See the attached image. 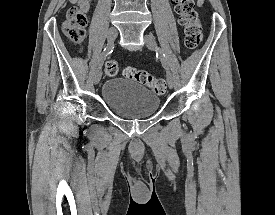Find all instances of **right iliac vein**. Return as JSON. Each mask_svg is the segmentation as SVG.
Segmentation results:
<instances>
[{
	"label": "right iliac vein",
	"mask_w": 275,
	"mask_h": 215,
	"mask_svg": "<svg viewBox=\"0 0 275 215\" xmlns=\"http://www.w3.org/2000/svg\"><path fill=\"white\" fill-rule=\"evenodd\" d=\"M118 35L117 29L115 27H111L108 31V44L113 45L116 37ZM102 77V66L98 65L95 74H94V83L98 84Z\"/></svg>",
	"instance_id": "obj_1"
}]
</instances>
